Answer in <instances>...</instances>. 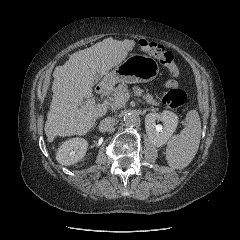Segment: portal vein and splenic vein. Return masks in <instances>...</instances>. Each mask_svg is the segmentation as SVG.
Returning <instances> with one entry per match:
<instances>
[{
  "label": "portal vein and splenic vein",
  "instance_id": "1",
  "mask_svg": "<svg viewBox=\"0 0 240 240\" xmlns=\"http://www.w3.org/2000/svg\"><path fill=\"white\" fill-rule=\"evenodd\" d=\"M129 98H130L129 93L126 94L125 96L117 97V100L114 101V105H117L118 101H121V100L128 101ZM94 107H95V101L93 99H88L85 105H81L80 110L84 111L87 108H94Z\"/></svg>",
  "mask_w": 240,
  "mask_h": 240
}]
</instances>
